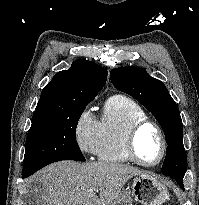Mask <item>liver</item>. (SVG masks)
I'll use <instances>...</instances> for the list:
<instances>
[{"instance_id": "obj_1", "label": "liver", "mask_w": 199, "mask_h": 205, "mask_svg": "<svg viewBox=\"0 0 199 205\" xmlns=\"http://www.w3.org/2000/svg\"><path fill=\"white\" fill-rule=\"evenodd\" d=\"M138 168L113 162L53 163L34 176L41 186L43 205H111ZM99 191V196L95 194Z\"/></svg>"}]
</instances>
